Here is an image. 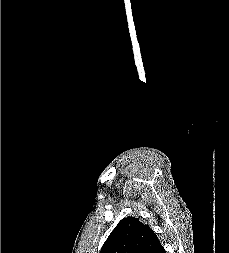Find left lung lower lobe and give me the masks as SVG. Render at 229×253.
<instances>
[{"label":"left lung lower lobe","instance_id":"1","mask_svg":"<svg viewBox=\"0 0 229 253\" xmlns=\"http://www.w3.org/2000/svg\"><path fill=\"white\" fill-rule=\"evenodd\" d=\"M155 253H166V252H165V249L163 248V246L160 245V246L157 248V250H156Z\"/></svg>","mask_w":229,"mask_h":253}]
</instances>
